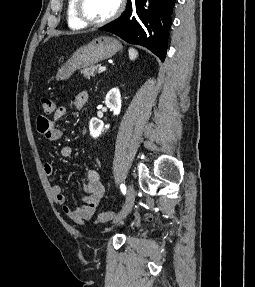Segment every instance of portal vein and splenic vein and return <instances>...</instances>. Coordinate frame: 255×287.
Returning a JSON list of instances; mask_svg holds the SVG:
<instances>
[{"label": "portal vein and splenic vein", "mask_w": 255, "mask_h": 287, "mask_svg": "<svg viewBox=\"0 0 255 287\" xmlns=\"http://www.w3.org/2000/svg\"><path fill=\"white\" fill-rule=\"evenodd\" d=\"M106 68H99L98 72L101 74V72H105Z\"/></svg>", "instance_id": "1"}]
</instances>
